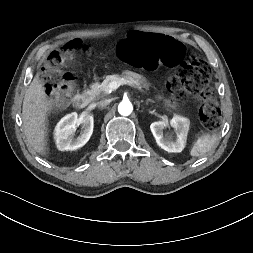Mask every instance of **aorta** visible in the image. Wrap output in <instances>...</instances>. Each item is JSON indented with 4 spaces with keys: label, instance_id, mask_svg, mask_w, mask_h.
I'll list each match as a JSON object with an SVG mask.
<instances>
[{
    "label": "aorta",
    "instance_id": "obj_1",
    "mask_svg": "<svg viewBox=\"0 0 253 253\" xmlns=\"http://www.w3.org/2000/svg\"><path fill=\"white\" fill-rule=\"evenodd\" d=\"M133 106L132 103L128 100H123L118 105V112L123 116H128L132 113Z\"/></svg>",
    "mask_w": 253,
    "mask_h": 253
}]
</instances>
